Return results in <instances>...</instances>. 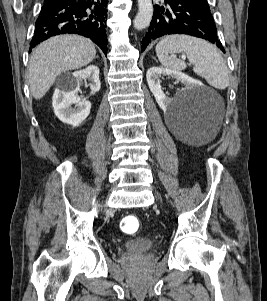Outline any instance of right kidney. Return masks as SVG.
Here are the masks:
<instances>
[{"label":"right kidney","mask_w":267,"mask_h":301,"mask_svg":"<svg viewBox=\"0 0 267 301\" xmlns=\"http://www.w3.org/2000/svg\"><path fill=\"white\" fill-rule=\"evenodd\" d=\"M83 80L90 82L92 93L98 92L101 87L99 68L90 65L86 69L73 72L70 80L60 85L54 92L52 99L54 113L63 123L79 126L90 114L91 103L81 100L78 96L80 83ZM73 104H76L77 108H72Z\"/></svg>","instance_id":"obj_1"}]
</instances>
